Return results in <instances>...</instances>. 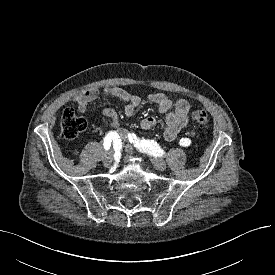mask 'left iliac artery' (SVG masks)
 I'll return each mask as SVG.
<instances>
[{"label": "left iliac artery", "instance_id": "left-iliac-artery-1", "mask_svg": "<svg viewBox=\"0 0 275 275\" xmlns=\"http://www.w3.org/2000/svg\"><path fill=\"white\" fill-rule=\"evenodd\" d=\"M128 138L130 141L135 143V146L139 148L143 152H147L150 154H156L158 145L154 140H140L137 139L136 135L129 134ZM179 144L183 147H188L191 144V140L189 138H182L179 141Z\"/></svg>", "mask_w": 275, "mask_h": 275}]
</instances>
